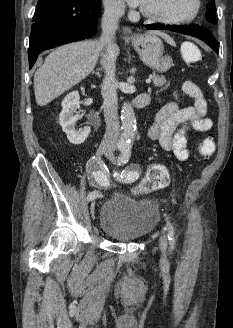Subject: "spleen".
<instances>
[{"label":"spleen","instance_id":"3e777b00","mask_svg":"<svg viewBox=\"0 0 233 328\" xmlns=\"http://www.w3.org/2000/svg\"><path fill=\"white\" fill-rule=\"evenodd\" d=\"M189 46L195 53H198V50L196 49V47L194 45L189 44Z\"/></svg>","mask_w":233,"mask_h":328}]
</instances>
